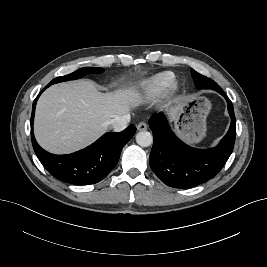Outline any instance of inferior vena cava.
<instances>
[{"mask_svg": "<svg viewBox=\"0 0 267 267\" xmlns=\"http://www.w3.org/2000/svg\"><path fill=\"white\" fill-rule=\"evenodd\" d=\"M129 121L130 114H124L122 116H116L115 118L111 119L109 124L114 131L120 132L127 127Z\"/></svg>", "mask_w": 267, "mask_h": 267, "instance_id": "1", "label": "inferior vena cava"}]
</instances>
